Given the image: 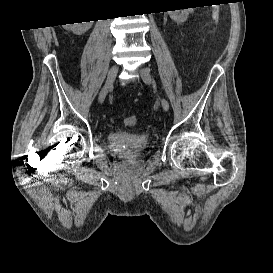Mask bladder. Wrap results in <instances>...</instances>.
Segmentation results:
<instances>
[{
  "label": "bladder",
  "instance_id": "31cf9c89",
  "mask_svg": "<svg viewBox=\"0 0 273 273\" xmlns=\"http://www.w3.org/2000/svg\"><path fill=\"white\" fill-rule=\"evenodd\" d=\"M149 139L137 133L111 130L107 134V145L111 153L125 159L135 160L147 149Z\"/></svg>",
  "mask_w": 273,
  "mask_h": 273
}]
</instances>
